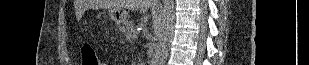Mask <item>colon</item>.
<instances>
[{
    "mask_svg": "<svg viewBox=\"0 0 309 65\" xmlns=\"http://www.w3.org/2000/svg\"><path fill=\"white\" fill-rule=\"evenodd\" d=\"M81 55L83 65H102L94 47L90 44H83L81 46Z\"/></svg>",
    "mask_w": 309,
    "mask_h": 65,
    "instance_id": "1",
    "label": "colon"
}]
</instances>
